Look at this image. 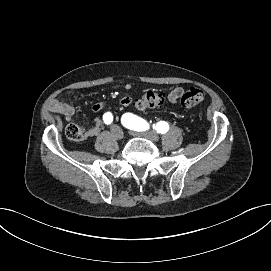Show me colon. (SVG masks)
Here are the masks:
<instances>
[{"label": "colon", "mask_w": 271, "mask_h": 271, "mask_svg": "<svg viewBox=\"0 0 271 271\" xmlns=\"http://www.w3.org/2000/svg\"><path fill=\"white\" fill-rule=\"evenodd\" d=\"M204 99V92L196 87H191L181 97V104L186 108H192ZM164 103V95L156 91H147L135 102L138 110H149L158 108ZM66 136L72 141L83 139L84 132L76 124H69L66 127Z\"/></svg>", "instance_id": "colon-1"}]
</instances>
